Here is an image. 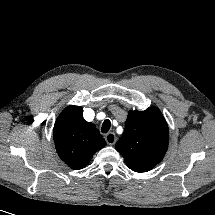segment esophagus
I'll return each instance as SVG.
<instances>
[{"instance_id":"1","label":"esophagus","mask_w":215,"mask_h":215,"mask_svg":"<svg viewBox=\"0 0 215 215\" xmlns=\"http://www.w3.org/2000/svg\"><path fill=\"white\" fill-rule=\"evenodd\" d=\"M105 140L107 144L114 145L116 143V136L113 132H109L105 135Z\"/></svg>"}]
</instances>
